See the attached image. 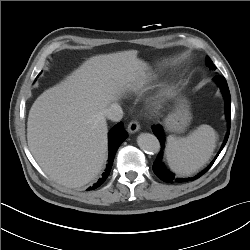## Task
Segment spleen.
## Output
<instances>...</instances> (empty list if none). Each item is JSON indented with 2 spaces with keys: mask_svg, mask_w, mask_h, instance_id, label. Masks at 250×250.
Returning <instances> with one entry per match:
<instances>
[{
  "mask_svg": "<svg viewBox=\"0 0 250 250\" xmlns=\"http://www.w3.org/2000/svg\"><path fill=\"white\" fill-rule=\"evenodd\" d=\"M215 130L200 125L187 137H167L166 159L176 174L188 176L203 167L211 158L217 142Z\"/></svg>",
  "mask_w": 250,
  "mask_h": 250,
  "instance_id": "1",
  "label": "spleen"
}]
</instances>
